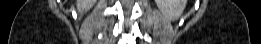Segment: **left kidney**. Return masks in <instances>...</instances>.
Instances as JSON below:
<instances>
[{"label":"left kidney","instance_id":"obj_1","mask_svg":"<svg viewBox=\"0 0 261 44\" xmlns=\"http://www.w3.org/2000/svg\"><path fill=\"white\" fill-rule=\"evenodd\" d=\"M161 13L171 21L177 20L183 13L186 0H155Z\"/></svg>","mask_w":261,"mask_h":44}]
</instances>
